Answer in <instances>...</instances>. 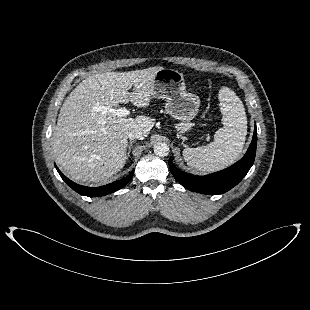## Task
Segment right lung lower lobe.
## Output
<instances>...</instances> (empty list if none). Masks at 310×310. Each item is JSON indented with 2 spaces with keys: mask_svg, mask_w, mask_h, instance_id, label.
<instances>
[{
  "mask_svg": "<svg viewBox=\"0 0 310 310\" xmlns=\"http://www.w3.org/2000/svg\"><path fill=\"white\" fill-rule=\"evenodd\" d=\"M58 173L60 174V176L62 177V179L73 189L75 190L77 193L84 195V196H88V197H100L103 195H107L110 193H113L117 190H119L120 188L124 187L132 178L133 176V171L126 176L125 178L118 180L116 182L110 183L108 185L102 186V187H86V186H81L78 185L74 182H72L71 180H69L66 176H64L61 171L58 169L57 166H55Z\"/></svg>",
  "mask_w": 310,
  "mask_h": 310,
  "instance_id": "right-lung-lower-lobe-1",
  "label": "right lung lower lobe"
}]
</instances>
